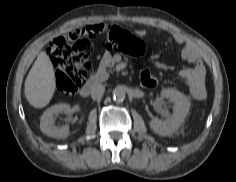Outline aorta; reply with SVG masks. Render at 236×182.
I'll use <instances>...</instances> for the list:
<instances>
[{"label":"aorta","mask_w":236,"mask_h":182,"mask_svg":"<svg viewBox=\"0 0 236 182\" xmlns=\"http://www.w3.org/2000/svg\"><path fill=\"white\" fill-rule=\"evenodd\" d=\"M112 95L115 101H123L126 96L124 89L120 87L115 88L112 92Z\"/></svg>","instance_id":"762f6f07"}]
</instances>
